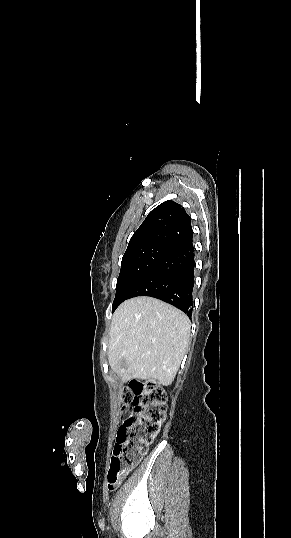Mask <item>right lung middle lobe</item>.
I'll return each instance as SVG.
<instances>
[{
  "mask_svg": "<svg viewBox=\"0 0 291 538\" xmlns=\"http://www.w3.org/2000/svg\"><path fill=\"white\" fill-rule=\"evenodd\" d=\"M170 250L167 247L150 246L124 254L120 274L117 279L112 313L123 301L129 298L138 283Z\"/></svg>",
  "mask_w": 291,
  "mask_h": 538,
  "instance_id": "1",
  "label": "right lung middle lobe"
}]
</instances>
